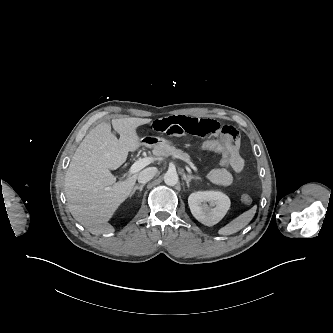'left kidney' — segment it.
<instances>
[{"mask_svg":"<svg viewBox=\"0 0 333 333\" xmlns=\"http://www.w3.org/2000/svg\"><path fill=\"white\" fill-rule=\"evenodd\" d=\"M207 202L210 203L211 207H208ZM188 204L192 215L199 222L207 226H213L229 210L230 199L220 191H198L189 196Z\"/></svg>","mask_w":333,"mask_h":333,"instance_id":"5707ae66","label":"left kidney"}]
</instances>
